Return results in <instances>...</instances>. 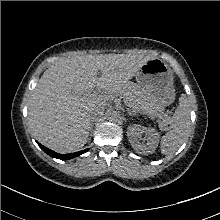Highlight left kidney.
<instances>
[{"mask_svg": "<svg viewBox=\"0 0 220 220\" xmlns=\"http://www.w3.org/2000/svg\"><path fill=\"white\" fill-rule=\"evenodd\" d=\"M142 134L147 137V143L140 142ZM127 136L135 151L142 155L153 153L159 141V133L154 128H146L136 124L128 127Z\"/></svg>", "mask_w": 220, "mask_h": 220, "instance_id": "5707ae66", "label": "left kidney"}]
</instances>
